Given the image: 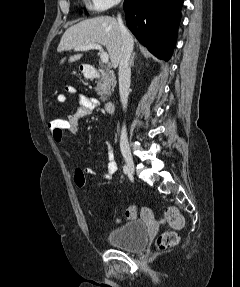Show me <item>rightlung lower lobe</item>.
I'll return each mask as SVG.
<instances>
[{
	"mask_svg": "<svg viewBox=\"0 0 240 287\" xmlns=\"http://www.w3.org/2000/svg\"><path fill=\"white\" fill-rule=\"evenodd\" d=\"M183 0H124L126 24L159 59L169 60L176 42Z\"/></svg>",
	"mask_w": 240,
	"mask_h": 287,
	"instance_id": "obj_1",
	"label": "right lung lower lobe"
}]
</instances>
